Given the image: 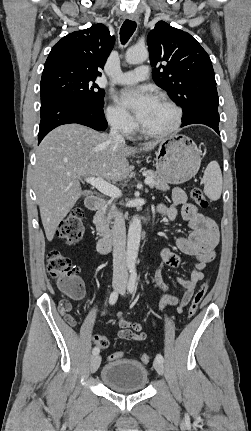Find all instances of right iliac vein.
I'll return each instance as SVG.
<instances>
[{
	"label": "right iliac vein",
	"mask_w": 251,
	"mask_h": 431,
	"mask_svg": "<svg viewBox=\"0 0 251 431\" xmlns=\"http://www.w3.org/2000/svg\"><path fill=\"white\" fill-rule=\"evenodd\" d=\"M113 287H114V289H119L120 288V283L118 281L114 282ZM100 363H101V356L98 355V354L93 355L92 358H91V362H90V371L92 373L96 372V370L100 366Z\"/></svg>",
	"instance_id": "1"
}]
</instances>
